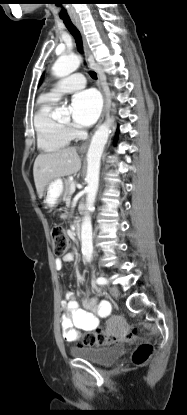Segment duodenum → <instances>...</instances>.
<instances>
[{
	"instance_id": "410a0bca",
	"label": "duodenum",
	"mask_w": 187,
	"mask_h": 415,
	"mask_svg": "<svg viewBox=\"0 0 187 415\" xmlns=\"http://www.w3.org/2000/svg\"><path fill=\"white\" fill-rule=\"evenodd\" d=\"M73 235L76 239H80L81 237V221L80 220H76L74 223Z\"/></svg>"
}]
</instances>
